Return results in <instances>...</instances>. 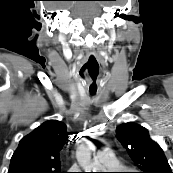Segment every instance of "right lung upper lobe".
<instances>
[{
    "mask_svg": "<svg viewBox=\"0 0 173 173\" xmlns=\"http://www.w3.org/2000/svg\"><path fill=\"white\" fill-rule=\"evenodd\" d=\"M66 125L58 120H49L23 137L14 152L8 173L28 170L35 173L60 171V153L69 141Z\"/></svg>",
    "mask_w": 173,
    "mask_h": 173,
    "instance_id": "cb5924a9",
    "label": "right lung upper lobe"
}]
</instances>
